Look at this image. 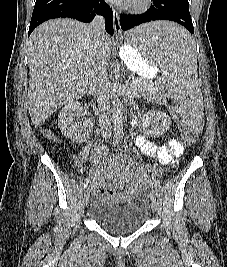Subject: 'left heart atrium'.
Here are the masks:
<instances>
[{
  "instance_id": "left-heart-atrium-1",
  "label": "left heart atrium",
  "mask_w": 227,
  "mask_h": 267,
  "mask_svg": "<svg viewBox=\"0 0 227 267\" xmlns=\"http://www.w3.org/2000/svg\"><path fill=\"white\" fill-rule=\"evenodd\" d=\"M110 1H113V2H116V3H124V2H130L132 0H110Z\"/></svg>"
}]
</instances>
